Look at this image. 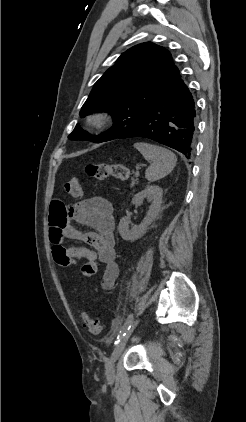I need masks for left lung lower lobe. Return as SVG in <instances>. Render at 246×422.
Masks as SVG:
<instances>
[{"mask_svg":"<svg viewBox=\"0 0 246 422\" xmlns=\"http://www.w3.org/2000/svg\"><path fill=\"white\" fill-rule=\"evenodd\" d=\"M196 123L194 98L178 72L145 114L118 138H149L190 158L194 152Z\"/></svg>","mask_w":246,"mask_h":422,"instance_id":"left-lung-lower-lobe-1","label":"left lung lower lobe"}]
</instances>
